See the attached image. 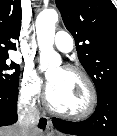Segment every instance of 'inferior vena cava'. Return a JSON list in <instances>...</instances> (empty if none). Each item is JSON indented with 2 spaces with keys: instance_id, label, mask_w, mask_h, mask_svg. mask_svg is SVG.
<instances>
[{
  "instance_id": "602c4592",
  "label": "inferior vena cava",
  "mask_w": 117,
  "mask_h": 136,
  "mask_svg": "<svg viewBox=\"0 0 117 136\" xmlns=\"http://www.w3.org/2000/svg\"><path fill=\"white\" fill-rule=\"evenodd\" d=\"M18 125L21 129V136H30L31 132L37 131V123L40 113L38 109L21 99L18 103Z\"/></svg>"
}]
</instances>
